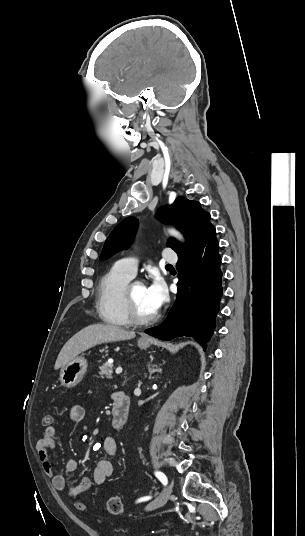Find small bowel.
Returning <instances> with one entry per match:
<instances>
[{
    "label": "small bowel",
    "instance_id": "small-bowel-1",
    "mask_svg": "<svg viewBox=\"0 0 305 536\" xmlns=\"http://www.w3.org/2000/svg\"><path fill=\"white\" fill-rule=\"evenodd\" d=\"M86 410L81 405H73L68 410V419L72 423H80L84 420ZM100 449L114 456L117 452V443L113 437H104L99 444ZM58 448L57 429L53 425H47L43 431V435L36 445V450L42 464L44 472L51 478L53 487L60 492H65L66 495H83L91 486L92 480L94 483L101 485L112 476L114 465L108 459H100L96 462L93 470L92 480L88 477L82 478L79 484H68L66 478L61 474H56L51 460V453ZM80 467V461L70 459L65 463V472L72 474Z\"/></svg>",
    "mask_w": 305,
    "mask_h": 536
}]
</instances>
